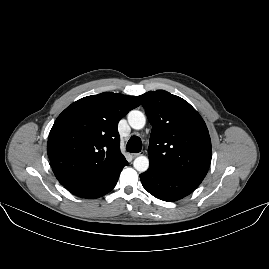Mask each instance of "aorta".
I'll use <instances>...</instances> for the list:
<instances>
[{
    "label": "aorta",
    "mask_w": 269,
    "mask_h": 269,
    "mask_svg": "<svg viewBox=\"0 0 269 269\" xmlns=\"http://www.w3.org/2000/svg\"><path fill=\"white\" fill-rule=\"evenodd\" d=\"M129 125L135 130H142L146 125V117L140 111H131L128 114ZM134 168L140 172H145L149 168V159L145 155H140L134 160Z\"/></svg>",
    "instance_id": "obj_1"
}]
</instances>
